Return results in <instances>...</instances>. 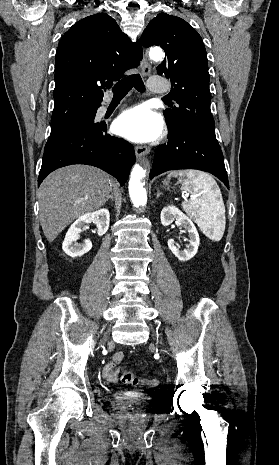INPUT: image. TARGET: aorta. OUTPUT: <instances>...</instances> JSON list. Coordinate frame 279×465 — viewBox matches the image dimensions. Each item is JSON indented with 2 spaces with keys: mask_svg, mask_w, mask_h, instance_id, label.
Listing matches in <instances>:
<instances>
[{
  "mask_svg": "<svg viewBox=\"0 0 279 465\" xmlns=\"http://www.w3.org/2000/svg\"><path fill=\"white\" fill-rule=\"evenodd\" d=\"M150 58L153 60H160L163 53L160 49L151 50ZM145 177V170L138 164L134 165L129 181V194L135 207L145 206L147 203L146 190L142 180Z\"/></svg>",
  "mask_w": 279,
  "mask_h": 465,
  "instance_id": "762f6f07",
  "label": "aorta"
}]
</instances>
